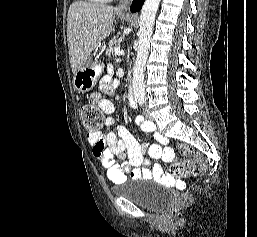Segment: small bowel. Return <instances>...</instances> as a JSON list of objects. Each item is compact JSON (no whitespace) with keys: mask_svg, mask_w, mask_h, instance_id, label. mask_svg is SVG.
<instances>
[{"mask_svg":"<svg viewBox=\"0 0 257 237\" xmlns=\"http://www.w3.org/2000/svg\"><path fill=\"white\" fill-rule=\"evenodd\" d=\"M118 81L110 75L102 77L99 90L90 95V100L98 104L100 110L107 115L105 123L108 126L114 125L113 113L114 103L104 97L110 95L117 87ZM136 123L145 132L152 133L157 143L145 144L149 154L153 158H162L165 161L173 159V151L170 148H163L168 139L162 135L154 133V125L142 117L136 118ZM87 140L92 147V151L97 160L106 170L108 178L114 183H122L126 175L130 174L134 180L152 179L159 182L172 183L174 178L164 173L159 167L147 169L143 166L149 164L144 159V148L138 143L134 136L123 126H116L102 134L89 133ZM116 159L124 160L118 164Z\"/></svg>","mask_w":257,"mask_h":237,"instance_id":"c3829d8e","label":"small bowel"}]
</instances>
